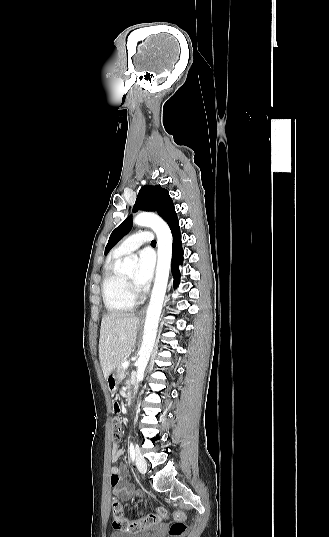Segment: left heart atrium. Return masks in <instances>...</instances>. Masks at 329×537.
I'll list each match as a JSON object with an SVG mask.
<instances>
[{
    "mask_svg": "<svg viewBox=\"0 0 329 537\" xmlns=\"http://www.w3.org/2000/svg\"><path fill=\"white\" fill-rule=\"evenodd\" d=\"M154 270V256L148 250H142L138 255V266L134 284L139 290H144L150 283Z\"/></svg>",
    "mask_w": 329,
    "mask_h": 537,
    "instance_id": "39dd6f15",
    "label": "left heart atrium"
}]
</instances>
